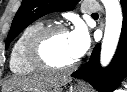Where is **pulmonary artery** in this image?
Here are the masks:
<instances>
[{
  "instance_id": "pulmonary-artery-1",
  "label": "pulmonary artery",
  "mask_w": 127,
  "mask_h": 92,
  "mask_svg": "<svg viewBox=\"0 0 127 92\" xmlns=\"http://www.w3.org/2000/svg\"><path fill=\"white\" fill-rule=\"evenodd\" d=\"M100 10V6L96 3H88V4H84L82 6V12L83 13H93V12H97Z\"/></svg>"
}]
</instances>
